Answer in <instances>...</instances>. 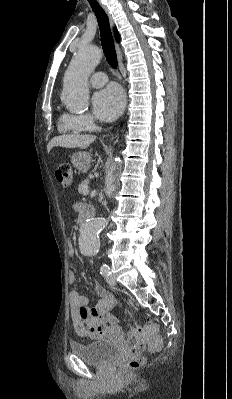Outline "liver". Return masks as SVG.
Returning a JSON list of instances; mask_svg holds the SVG:
<instances>
[{"instance_id":"1","label":"liver","mask_w":232,"mask_h":399,"mask_svg":"<svg viewBox=\"0 0 232 399\" xmlns=\"http://www.w3.org/2000/svg\"><path fill=\"white\" fill-rule=\"evenodd\" d=\"M95 136H79V134H71V136H57L49 142L47 146V152H51L54 146H61V148H81L85 150L92 142H94Z\"/></svg>"}]
</instances>
